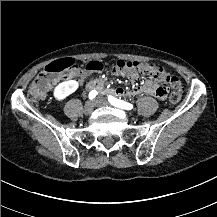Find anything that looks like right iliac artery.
Wrapping results in <instances>:
<instances>
[{
  "label": "right iliac artery",
  "mask_w": 217,
  "mask_h": 217,
  "mask_svg": "<svg viewBox=\"0 0 217 217\" xmlns=\"http://www.w3.org/2000/svg\"><path fill=\"white\" fill-rule=\"evenodd\" d=\"M98 94V92L96 90H92L90 93H89V99H94L96 97V95Z\"/></svg>",
  "instance_id": "right-iliac-artery-1"
}]
</instances>
